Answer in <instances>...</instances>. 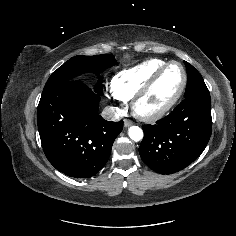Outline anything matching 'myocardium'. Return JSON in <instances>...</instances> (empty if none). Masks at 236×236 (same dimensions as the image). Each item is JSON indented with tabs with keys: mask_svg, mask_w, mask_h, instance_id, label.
<instances>
[{
	"mask_svg": "<svg viewBox=\"0 0 236 236\" xmlns=\"http://www.w3.org/2000/svg\"><path fill=\"white\" fill-rule=\"evenodd\" d=\"M171 65H177L180 67L183 78L182 83L180 85L179 90L175 94V96L162 108L146 113L139 109V103L149 94V92L152 90L154 85L157 83V81L160 79V77L163 75V73L171 66ZM187 85V72L185 67L178 61H170L165 63L163 66H161L149 79L148 81L141 87V89L135 94V96L132 98L131 108L135 116H137L139 119L146 121V122H155L161 118H163L168 112H170L175 105L178 103L180 98L183 95V92Z\"/></svg>",
	"mask_w": 236,
	"mask_h": 236,
	"instance_id": "myocardium-1",
	"label": "myocardium"
}]
</instances>
